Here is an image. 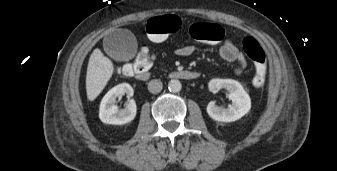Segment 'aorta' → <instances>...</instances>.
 <instances>
[{
    "mask_svg": "<svg viewBox=\"0 0 337 171\" xmlns=\"http://www.w3.org/2000/svg\"><path fill=\"white\" fill-rule=\"evenodd\" d=\"M168 89L170 92L177 93L180 92L182 89L181 82L176 79H172L168 83Z\"/></svg>",
    "mask_w": 337,
    "mask_h": 171,
    "instance_id": "1",
    "label": "aorta"
}]
</instances>
